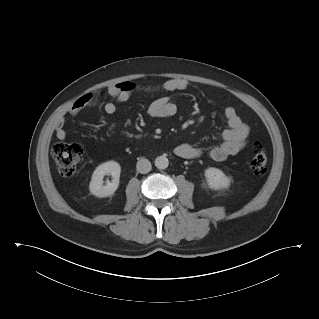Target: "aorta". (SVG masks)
Instances as JSON below:
<instances>
[{
  "label": "aorta",
  "mask_w": 319,
  "mask_h": 319,
  "mask_svg": "<svg viewBox=\"0 0 319 319\" xmlns=\"http://www.w3.org/2000/svg\"><path fill=\"white\" fill-rule=\"evenodd\" d=\"M154 163L158 169H166L169 165V161L165 156H158Z\"/></svg>",
  "instance_id": "obj_1"
}]
</instances>
